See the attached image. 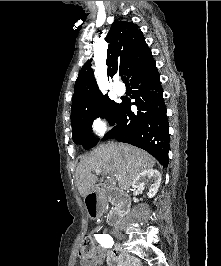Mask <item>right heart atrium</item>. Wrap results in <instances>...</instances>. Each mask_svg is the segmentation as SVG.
Returning <instances> with one entry per match:
<instances>
[{"label": "right heart atrium", "instance_id": "d8ad5b80", "mask_svg": "<svg viewBox=\"0 0 221 266\" xmlns=\"http://www.w3.org/2000/svg\"><path fill=\"white\" fill-rule=\"evenodd\" d=\"M91 128L97 136H103L108 130V122L104 117H96L92 123Z\"/></svg>", "mask_w": 221, "mask_h": 266}]
</instances>
